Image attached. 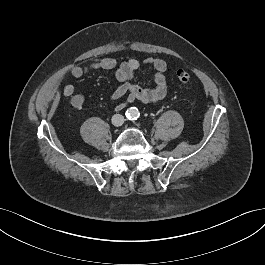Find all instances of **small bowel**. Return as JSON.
I'll return each mask as SVG.
<instances>
[{"label":"small bowel","instance_id":"obj_1","mask_svg":"<svg viewBox=\"0 0 265 265\" xmlns=\"http://www.w3.org/2000/svg\"><path fill=\"white\" fill-rule=\"evenodd\" d=\"M143 64L154 70V85L152 87H142L131 82L141 66V62L137 59H129L116 68L117 63L113 58H95L85 65H72L69 74L75 78H80L96 70H113L116 68L115 77L120 85L112 93L111 99L118 101L124 98V101L116 106V110H122L128 103L134 101L147 104L160 103L167 94V63L161 58L149 57L143 61ZM62 91L65 96L70 98V103L74 108L80 109L83 106L84 96L75 93L72 85H64Z\"/></svg>","mask_w":265,"mask_h":265}]
</instances>
